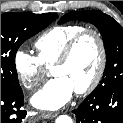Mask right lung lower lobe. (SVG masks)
Masks as SVG:
<instances>
[{
	"label": "right lung lower lobe",
	"mask_w": 123,
	"mask_h": 123,
	"mask_svg": "<svg viewBox=\"0 0 123 123\" xmlns=\"http://www.w3.org/2000/svg\"><path fill=\"white\" fill-rule=\"evenodd\" d=\"M23 106L22 89L1 91V123H21L26 116Z\"/></svg>",
	"instance_id": "1"
}]
</instances>
